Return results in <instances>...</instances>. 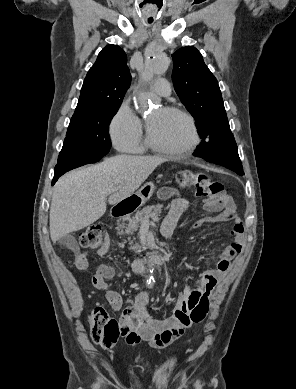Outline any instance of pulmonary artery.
<instances>
[{
	"mask_svg": "<svg viewBox=\"0 0 296 389\" xmlns=\"http://www.w3.org/2000/svg\"><path fill=\"white\" fill-rule=\"evenodd\" d=\"M152 90L161 96H168L171 93L170 84L164 78L157 79L152 85Z\"/></svg>",
	"mask_w": 296,
	"mask_h": 389,
	"instance_id": "obj_1",
	"label": "pulmonary artery"
}]
</instances>
